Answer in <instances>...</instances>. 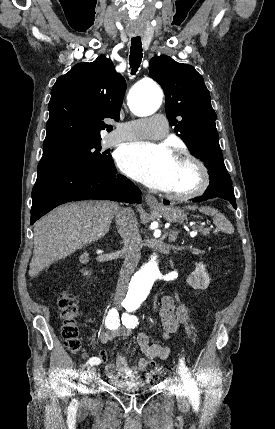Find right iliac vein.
Returning a JSON list of instances; mask_svg holds the SVG:
<instances>
[{"instance_id":"obj_1","label":"right iliac vein","mask_w":275,"mask_h":429,"mask_svg":"<svg viewBox=\"0 0 275 429\" xmlns=\"http://www.w3.org/2000/svg\"><path fill=\"white\" fill-rule=\"evenodd\" d=\"M95 371H96L95 367L93 365H91L87 369V375L89 377H91V376H93L95 374Z\"/></svg>"}]
</instances>
